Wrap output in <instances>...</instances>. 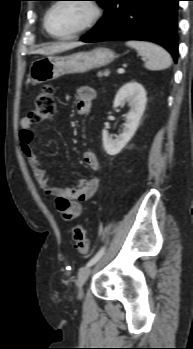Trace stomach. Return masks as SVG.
Listing matches in <instances>:
<instances>
[{
	"label": "stomach",
	"instance_id": "0dacf381",
	"mask_svg": "<svg viewBox=\"0 0 193 349\" xmlns=\"http://www.w3.org/2000/svg\"><path fill=\"white\" fill-rule=\"evenodd\" d=\"M115 57L114 51L104 47L67 56L40 57L32 61L29 77L33 84H41L65 74L86 73L92 69L106 66Z\"/></svg>",
	"mask_w": 193,
	"mask_h": 349
}]
</instances>
